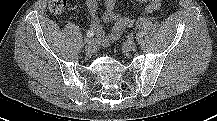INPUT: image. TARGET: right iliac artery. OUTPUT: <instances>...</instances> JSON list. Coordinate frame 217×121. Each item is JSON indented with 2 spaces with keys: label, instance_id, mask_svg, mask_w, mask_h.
Listing matches in <instances>:
<instances>
[{
  "label": "right iliac artery",
  "instance_id": "obj_1",
  "mask_svg": "<svg viewBox=\"0 0 217 121\" xmlns=\"http://www.w3.org/2000/svg\"><path fill=\"white\" fill-rule=\"evenodd\" d=\"M85 43L97 45L98 44V40L94 39V38H85Z\"/></svg>",
  "mask_w": 217,
  "mask_h": 121
}]
</instances>
